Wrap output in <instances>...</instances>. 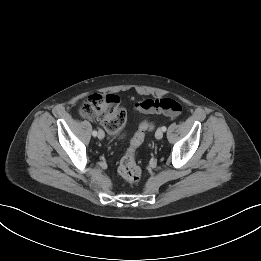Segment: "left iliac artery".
I'll return each instance as SVG.
<instances>
[{
	"label": "left iliac artery",
	"instance_id": "1",
	"mask_svg": "<svg viewBox=\"0 0 261 261\" xmlns=\"http://www.w3.org/2000/svg\"><path fill=\"white\" fill-rule=\"evenodd\" d=\"M162 130L165 132V131H166V127H165V126H163V127H162Z\"/></svg>",
	"mask_w": 261,
	"mask_h": 261
}]
</instances>
